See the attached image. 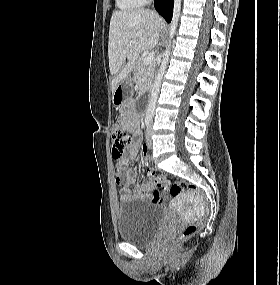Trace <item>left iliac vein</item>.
<instances>
[{
    "instance_id": "left-iliac-vein-1",
    "label": "left iliac vein",
    "mask_w": 280,
    "mask_h": 285,
    "mask_svg": "<svg viewBox=\"0 0 280 285\" xmlns=\"http://www.w3.org/2000/svg\"><path fill=\"white\" fill-rule=\"evenodd\" d=\"M146 141L149 147H152V125H149L146 132Z\"/></svg>"
}]
</instances>
